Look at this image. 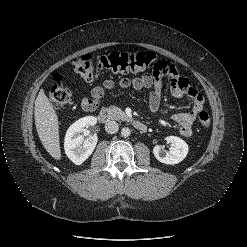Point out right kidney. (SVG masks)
I'll use <instances>...</instances> for the list:
<instances>
[{
	"label": "right kidney",
	"instance_id": "right-kidney-1",
	"mask_svg": "<svg viewBox=\"0 0 247 247\" xmlns=\"http://www.w3.org/2000/svg\"><path fill=\"white\" fill-rule=\"evenodd\" d=\"M96 118L86 116L73 123L67 130L64 140L65 154L76 165H81L93 153L98 137L89 136L84 139L82 133L86 126H94Z\"/></svg>",
	"mask_w": 247,
	"mask_h": 247
}]
</instances>
